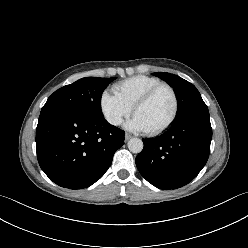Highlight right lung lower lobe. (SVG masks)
<instances>
[{
    "instance_id": "obj_1",
    "label": "right lung lower lobe",
    "mask_w": 248,
    "mask_h": 248,
    "mask_svg": "<svg viewBox=\"0 0 248 248\" xmlns=\"http://www.w3.org/2000/svg\"><path fill=\"white\" fill-rule=\"evenodd\" d=\"M124 134L104 117L68 108L41 112L36 129L39 165L59 186L86 188L108 170Z\"/></svg>"
}]
</instances>
